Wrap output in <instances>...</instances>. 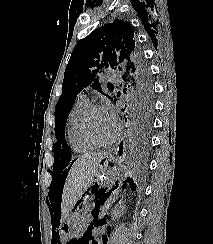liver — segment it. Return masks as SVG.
Wrapping results in <instances>:
<instances>
[{
  "instance_id": "liver-1",
  "label": "liver",
  "mask_w": 213,
  "mask_h": 244,
  "mask_svg": "<svg viewBox=\"0 0 213 244\" xmlns=\"http://www.w3.org/2000/svg\"><path fill=\"white\" fill-rule=\"evenodd\" d=\"M107 154L106 152L84 154L73 163L62 193V220L68 216L74 204L93 183L97 169Z\"/></svg>"
}]
</instances>
